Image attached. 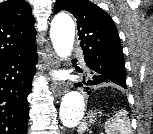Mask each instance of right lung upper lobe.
Masks as SVG:
<instances>
[{"mask_svg":"<svg viewBox=\"0 0 153 134\" xmlns=\"http://www.w3.org/2000/svg\"><path fill=\"white\" fill-rule=\"evenodd\" d=\"M35 19L24 0L0 3V61L36 46Z\"/></svg>","mask_w":153,"mask_h":134,"instance_id":"1","label":"right lung upper lobe"}]
</instances>
